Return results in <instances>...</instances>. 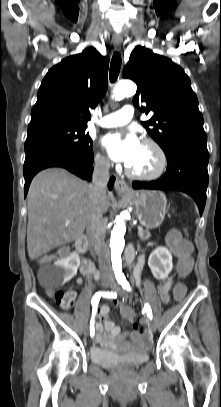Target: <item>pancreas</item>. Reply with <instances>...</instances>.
Here are the masks:
<instances>
[{
	"mask_svg": "<svg viewBox=\"0 0 221 407\" xmlns=\"http://www.w3.org/2000/svg\"><path fill=\"white\" fill-rule=\"evenodd\" d=\"M140 240H148L151 236L149 230H142L138 233Z\"/></svg>",
	"mask_w": 221,
	"mask_h": 407,
	"instance_id": "obj_1",
	"label": "pancreas"
}]
</instances>
